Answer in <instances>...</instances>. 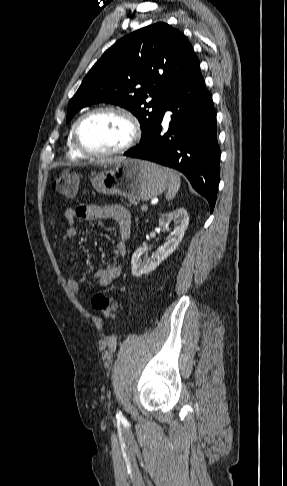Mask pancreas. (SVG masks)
<instances>
[{"instance_id":"obj_1","label":"pancreas","mask_w":287,"mask_h":486,"mask_svg":"<svg viewBox=\"0 0 287 486\" xmlns=\"http://www.w3.org/2000/svg\"><path fill=\"white\" fill-rule=\"evenodd\" d=\"M130 202H131L132 204H134V205H137V204H138V203H137L135 200H131V199H130Z\"/></svg>"}]
</instances>
